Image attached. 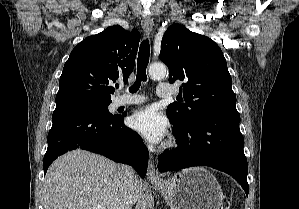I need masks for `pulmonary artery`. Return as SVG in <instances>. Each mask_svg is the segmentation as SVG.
<instances>
[{"mask_svg": "<svg viewBox=\"0 0 299 209\" xmlns=\"http://www.w3.org/2000/svg\"><path fill=\"white\" fill-rule=\"evenodd\" d=\"M156 93L159 97H170L173 95L174 90L168 83H159L157 86ZM146 101V98L143 96H131V97H121L118 101L119 106H128L134 104H140Z\"/></svg>", "mask_w": 299, "mask_h": 209, "instance_id": "obj_1", "label": "pulmonary artery"}]
</instances>
